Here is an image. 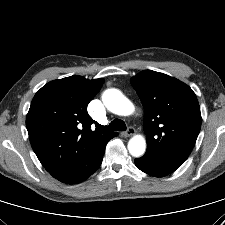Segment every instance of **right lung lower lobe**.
<instances>
[{
	"instance_id": "right-lung-lower-lobe-1",
	"label": "right lung lower lobe",
	"mask_w": 225,
	"mask_h": 225,
	"mask_svg": "<svg viewBox=\"0 0 225 225\" xmlns=\"http://www.w3.org/2000/svg\"><path fill=\"white\" fill-rule=\"evenodd\" d=\"M108 141L99 148L97 156L91 165L85 168L77 169L71 172L69 175L58 180L66 184H77L90 177L99 168L105 152V146L108 143Z\"/></svg>"
}]
</instances>
